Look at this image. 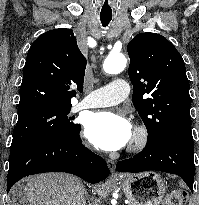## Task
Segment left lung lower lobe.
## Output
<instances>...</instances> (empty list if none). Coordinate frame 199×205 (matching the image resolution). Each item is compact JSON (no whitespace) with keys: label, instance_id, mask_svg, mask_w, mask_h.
<instances>
[{"label":"left lung lower lobe","instance_id":"left-lung-lower-lobe-1","mask_svg":"<svg viewBox=\"0 0 199 205\" xmlns=\"http://www.w3.org/2000/svg\"><path fill=\"white\" fill-rule=\"evenodd\" d=\"M118 172L157 170L179 175L193 192L194 144L192 132L175 130L159 141H147L146 147L116 165Z\"/></svg>","mask_w":199,"mask_h":205}]
</instances>
